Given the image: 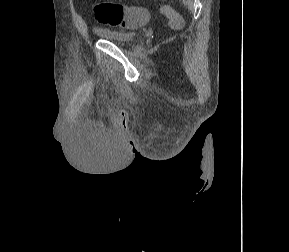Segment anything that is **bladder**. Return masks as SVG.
Instances as JSON below:
<instances>
[{
  "label": "bladder",
  "instance_id": "31cf9c89",
  "mask_svg": "<svg viewBox=\"0 0 289 252\" xmlns=\"http://www.w3.org/2000/svg\"><path fill=\"white\" fill-rule=\"evenodd\" d=\"M95 34L100 39L112 41L123 45L132 44L138 38V33L135 31H117L104 28L96 29Z\"/></svg>",
  "mask_w": 289,
  "mask_h": 252
}]
</instances>
